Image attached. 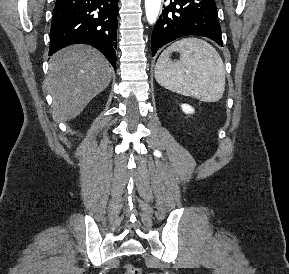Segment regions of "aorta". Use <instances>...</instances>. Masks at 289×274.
Wrapping results in <instances>:
<instances>
[{
    "instance_id": "aorta-1",
    "label": "aorta",
    "mask_w": 289,
    "mask_h": 274,
    "mask_svg": "<svg viewBox=\"0 0 289 274\" xmlns=\"http://www.w3.org/2000/svg\"><path fill=\"white\" fill-rule=\"evenodd\" d=\"M161 0H145L146 17L150 24H154L158 18Z\"/></svg>"
}]
</instances>
